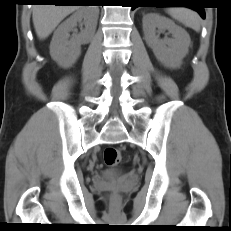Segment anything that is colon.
Returning <instances> with one entry per match:
<instances>
[{"mask_svg":"<svg viewBox=\"0 0 231 231\" xmlns=\"http://www.w3.org/2000/svg\"><path fill=\"white\" fill-rule=\"evenodd\" d=\"M103 157L108 166H119L122 162V153L115 147H107L104 150Z\"/></svg>","mask_w":231,"mask_h":231,"instance_id":"colon-1","label":"colon"}]
</instances>
